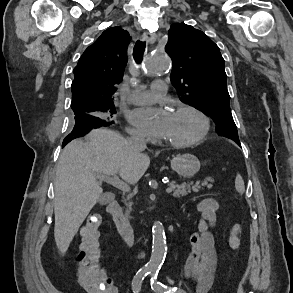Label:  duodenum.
Returning a JSON list of instances; mask_svg holds the SVG:
<instances>
[{
	"instance_id": "410a0bca",
	"label": "duodenum",
	"mask_w": 293,
	"mask_h": 293,
	"mask_svg": "<svg viewBox=\"0 0 293 293\" xmlns=\"http://www.w3.org/2000/svg\"><path fill=\"white\" fill-rule=\"evenodd\" d=\"M107 209L112 215L118 231L128 246H132L135 242V230L129 220L123 214L122 208L117 200L108 203Z\"/></svg>"
}]
</instances>
